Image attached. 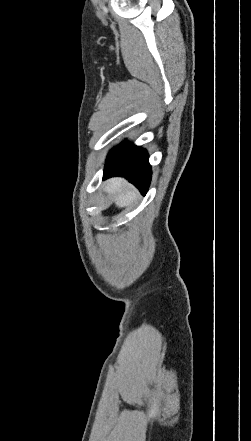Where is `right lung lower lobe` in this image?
<instances>
[{
    "mask_svg": "<svg viewBox=\"0 0 251 441\" xmlns=\"http://www.w3.org/2000/svg\"><path fill=\"white\" fill-rule=\"evenodd\" d=\"M148 157L145 149L123 142L109 153L103 179L123 176L145 195L151 181Z\"/></svg>",
    "mask_w": 251,
    "mask_h": 441,
    "instance_id": "1",
    "label": "right lung lower lobe"
}]
</instances>
